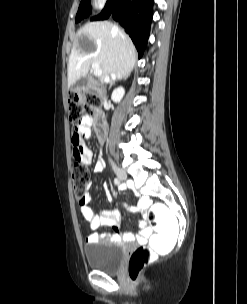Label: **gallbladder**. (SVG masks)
<instances>
[{
  "label": "gallbladder",
  "mask_w": 247,
  "mask_h": 304,
  "mask_svg": "<svg viewBox=\"0 0 247 304\" xmlns=\"http://www.w3.org/2000/svg\"><path fill=\"white\" fill-rule=\"evenodd\" d=\"M88 77H86V76H84V77H81L79 80H77L75 83H74V85H73V87H72V90L74 91V92H79V91H82V90H84V89H86L87 88V86H88Z\"/></svg>",
  "instance_id": "1"
}]
</instances>
